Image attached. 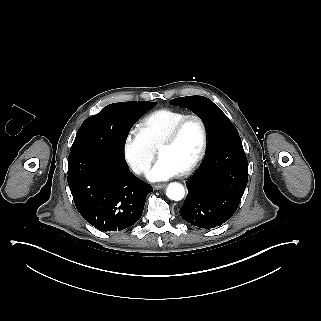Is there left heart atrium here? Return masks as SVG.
I'll return each mask as SVG.
<instances>
[{
	"mask_svg": "<svg viewBox=\"0 0 321 321\" xmlns=\"http://www.w3.org/2000/svg\"><path fill=\"white\" fill-rule=\"evenodd\" d=\"M180 168L176 165L174 160L169 156H162L149 169L148 177L151 180L163 181L171 177L181 174Z\"/></svg>",
	"mask_w": 321,
	"mask_h": 321,
	"instance_id": "obj_1",
	"label": "left heart atrium"
}]
</instances>
